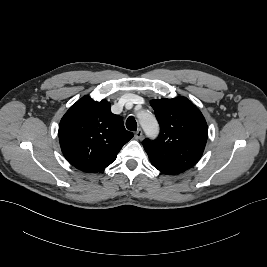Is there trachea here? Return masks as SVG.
<instances>
[{"label":"trachea","instance_id":"1","mask_svg":"<svg viewBox=\"0 0 267 267\" xmlns=\"http://www.w3.org/2000/svg\"><path fill=\"white\" fill-rule=\"evenodd\" d=\"M126 127L130 131H136L137 130V122L133 116H129L126 120Z\"/></svg>","mask_w":267,"mask_h":267}]
</instances>
